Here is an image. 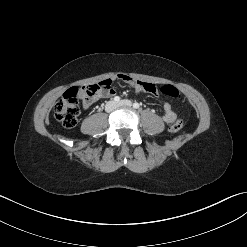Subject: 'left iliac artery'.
<instances>
[{
    "label": "left iliac artery",
    "mask_w": 247,
    "mask_h": 247,
    "mask_svg": "<svg viewBox=\"0 0 247 247\" xmlns=\"http://www.w3.org/2000/svg\"><path fill=\"white\" fill-rule=\"evenodd\" d=\"M133 107H134L135 109H138V108L140 107V104L137 103V102H135V103L133 104Z\"/></svg>",
    "instance_id": "44dca946"
}]
</instances>
